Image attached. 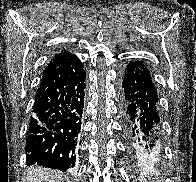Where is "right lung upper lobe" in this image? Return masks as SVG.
<instances>
[{
    "label": "right lung upper lobe",
    "mask_w": 196,
    "mask_h": 182,
    "mask_svg": "<svg viewBox=\"0 0 196 182\" xmlns=\"http://www.w3.org/2000/svg\"><path fill=\"white\" fill-rule=\"evenodd\" d=\"M75 55L71 54L68 51H63L59 54H57L52 61L46 66V68L43 71V76H46L51 71L55 70L59 66L65 64L70 58L74 57Z\"/></svg>",
    "instance_id": "cb5924a9"
}]
</instances>
